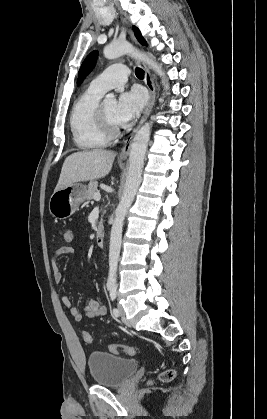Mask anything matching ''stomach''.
<instances>
[{
    "mask_svg": "<svg viewBox=\"0 0 267 419\" xmlns=\"http://www.w3.org/2000/svg\"><path fill=\"white\" fill-rule=\"evenodd\" d=\"M87 195V186L75 182L71 185L54 191L49 200V211L57 219L70 217L82 204Z\"/></svg>",
    "mask_w": 267,
    "mask_h": 419,
    "instance_id": "stomach-1",
    "label": "stomach"
}]
</instances>
